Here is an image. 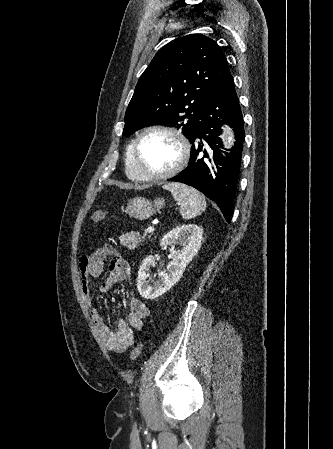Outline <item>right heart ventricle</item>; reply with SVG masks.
I'll return each instance as SVG.
<instances>
[{
  "mask_svg": "<svg viewBox=\"0 0 333 449\" xmlns=\"http://www.w3.org/2000/svg\"><path fill=\"white\" fill-rule=\"evenodd\" d=\"M125 171L127 176L135 181H141L133 162V143L129 144L125 155Z\"/></svg>",
  "mask_w": 333,
  "mask_h": 449,
  "instance_id": "obj_1",
  "label": "right heart ventricle"
}]
</instances>
